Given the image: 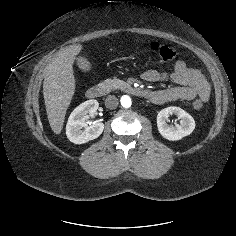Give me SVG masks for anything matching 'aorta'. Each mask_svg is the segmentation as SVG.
Segmentation results:
<instances>
[{
  "mask_svg": "<svg viewBox=\"0 0 236 236\" xmlns=\"http://www.w3.org/2000/svg\"><path fill=\"white\" fill-rule=\"evenodd\" d=\"M121 105L125 108H129L132 104L131 98L128 95H124L121 97Z\"/></svg>",
  "mask_w": 236,
  "mask_h": 236,
  "instance_id": "aorta-1",
  "label": "aorta"
}]
</instances>
